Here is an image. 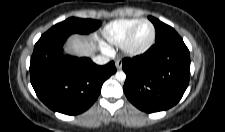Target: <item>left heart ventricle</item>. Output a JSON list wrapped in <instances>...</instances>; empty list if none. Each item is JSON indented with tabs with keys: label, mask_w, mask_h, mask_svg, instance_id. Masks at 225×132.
Listing matches in <instances>:
<instances>
[{
	"label": "left heart ventricle",
	"mask_w": 225,
	"mask_h": 132,
	"mask_svg": "<svg viewBox=\"0 0 225 132\" xmlns=\"http://www.w3.org/2000/svg\"><path fill=\"white\" fill-rule=\"evenodd\" d=\"M151 35V26L148 23H141L133 37V43L135 45H141L146 42Z\"/></svg>",
	"instance_id": "b2bd125f"
}]
</instances>
